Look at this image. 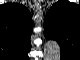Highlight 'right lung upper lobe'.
Listing matches in <instances>:
<instances>
[{
  "label": "right lung upper lobe",
  "instance_id": "cb5924a9",
  "mask_svg": "<svg viewBox=\"0 0 80 60\" xmlns=\"http://www.w3.org/2000/svg\"><path fill=\"white\" fill-rule=\"evenodd\" d=\"M33 21L31 13L20 4L6 3L0 6V47L7 55L25 57L30 51Z\"/></svg>",
  "mask_w": 80,
  "mask_h": 60
}]
</instances>
